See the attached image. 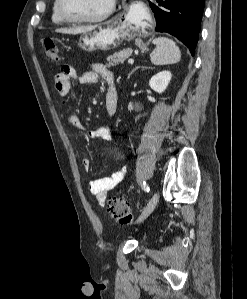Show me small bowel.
<instances>
[{
    "label": "small bowel",
    "mask_w": 247,
    "mask_h": 299,
    "mask_svg": "<svg viewBox=\"0 0 247 299\" xmlns=\"http://www.w3.org/2000/svg\"><path fill=\"white\" fill-rule=\"evenodd\" d=\"M100 78H103L109 84L105 98L106 111L107 107L110 105H113L116 108L118 95L113 85L112 73L100 64L92 65L90 69L86 70L80 75L76 73L73 67L64 65L55 75L54 80L57 92L61 97L65 98L70 93L72 80H76L80 84H95L100 80ZM63 104H66L65 100H63ZM67 121L69 126L73 129L85 128L81 119L72 112L69 113ZM89 135L92 138H102L106 140H110L112 138L110 130L106 126L89 130ZM81 164L85 172L90 171L91 161L88 157H84L81 161ZM126 171V167H123L108 177L98 178L89 182V190L94 195L100 206L105 204L110 191L113 190L123 180Z\"/></svg>",
    "instance_id": "obj_1"
}]
</instances>
